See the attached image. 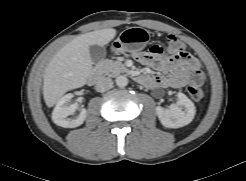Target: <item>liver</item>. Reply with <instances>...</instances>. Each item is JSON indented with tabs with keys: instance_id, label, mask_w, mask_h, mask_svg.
<instances>
[{
	"instance_id": "1",
	"label": "liver",
	"mask_w": 246,
	"mask_h": 181,
	"mask_svg": "<svg viewBox=\"0 0 246 181\" xmlns=\"http://www.w3.org/2000/svg\"><path fill=\"white\" fill-rule=\"evenodd\" d=\"M116 33L107 28L79 35L55 54L43 80V97L48 107L54 106L67 91L86 84L93 67L89 47L108 44Z\"/></svg>"
}]
</instances>
